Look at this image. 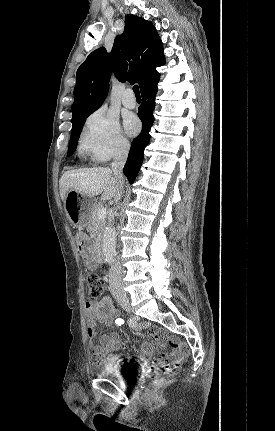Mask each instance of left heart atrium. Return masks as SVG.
Here are the masks:
<instances>
[{
	"mask_svg": "<svg viewBox=\"0 0 275 431\" xmlns=\"http://www.w3.org/2000/svg\"><path fill=\"white\" fill-rule=\"evenodd\" d=\"M125 128L129 135H135L141 128L140 121L134 115H129L125 118Z\"/></svg>",
	"mask_w": 275,
	"mask_h": 431,
	"instance_id": "obj_1",
	"label": "left heart atrium"
}]
</instances>
